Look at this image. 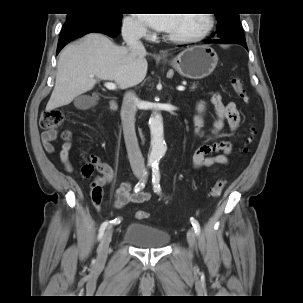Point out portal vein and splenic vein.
<instances>
[{"mask_svg":"<svg viewBox=\"0 0 303 303\" xmlns=\"http://www.w3.org/2000/svg\"><path fill=\"white\" fill-rule=\"evenodd\" d=\"M91 77H93V76H91ZM104 85H105V87H106L107 89H109V90H116V89H117L116 84H114V83H112V82H106ZM177 90H178V91H184V90H185V87L182 86V85H180V86L177 87Z\"/></svg>","mask_w":303,"mask_h":303,"instance_id":"obj_1","label":"portal vein and splenic vein"}]
</instances>
